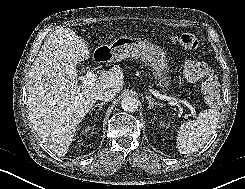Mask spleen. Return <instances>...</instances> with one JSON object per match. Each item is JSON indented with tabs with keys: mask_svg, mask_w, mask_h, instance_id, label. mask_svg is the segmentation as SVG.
<instances>
[{
	"mask_svg": "<svg viewBox=\"0 0 245 189\" xmlns=\"http://www.w3.org/2000/svg\"><path fill=\"white\" fill-rule=\"evenodd\" d=\"M220 119L216 108L206 109L199 113L195 120L180 126L177 133V149L182 154L198 151L210 139Z\"/></svg>",
	"mask_w": 245,
	"mask_h": 189,
	"instance_id": "spleen-1",
	"label": "spleen"
}]
</instances>
